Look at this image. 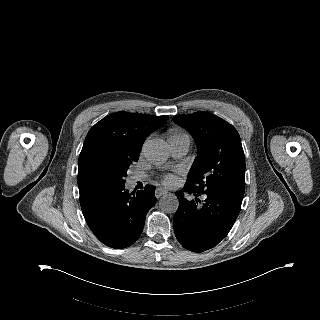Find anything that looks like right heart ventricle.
<instances>
[{
    "label": "right heart ventricle",
    "instance_id": "obj_1",
    "mask_svg": "<svg viewBox=\"0 0 320 320\" xmlns=\"http://www.w3.org/2000/svg\"><path fill=\"white\" fill-rule=\"evenodd\" d=\"M173 136H188V135L184 132H178V133L174 134Z\"/></svg>",
    "mask_w": 320,
    "mask_h": 320
}]
</instances>
